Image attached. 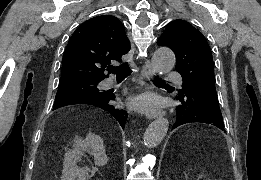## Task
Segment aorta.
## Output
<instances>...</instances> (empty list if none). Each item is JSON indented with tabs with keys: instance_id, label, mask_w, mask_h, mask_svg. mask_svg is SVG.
Instances as JSON below:
<instances>
[{
	"instance_id": "obj_1",
	"label": "aorta",
	"mask_w": 261,
	"mask_h": 180,
	"mask_svg": "<svg viewBox=\"0 0 261 180\" xmlns=\"http://www.w3.org/2000/svg\"><path fill=\"white\" fill-rule=\"evenodd\" d=\"M176 62L173 51L167 47L158 48L153 54L151 64L153 70L159 74L170 72ZM169 122L165 118H159L152 122L146 129L144 134V144L148 148H154L167 134Z\"/></svg>"
}]
</instances>
